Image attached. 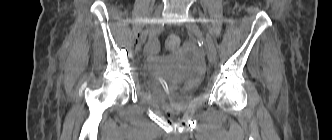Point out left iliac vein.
<instances>
[{
  "instance_id": "1",
  "label": "left iliac vein",
  "mask_w": 332,
  "mask_h": 140,
  "mask_svg": "<svg viewBox=\"0 0 332 140\" xmlns=\"http://www.w3.org/2000/svg\"><path fill=\"white\" fill-rule=\"evenodd\" d=\"M191 19L188 21V23L186 24L187 28L193 33L195 34L198 39L205 44V46L207 47L206 44V39L204 37V35L202 34V32L200 31L199 27L196 25L195 21L192 19V17H190ZM207 57L210 63L215 64L217 61V56L215 54H213L209 48H207Z\"/></svg>"
}]
</instances>
